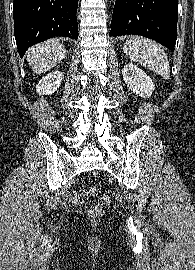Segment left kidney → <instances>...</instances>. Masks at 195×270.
Returning a JSON list of instances; mask_svg holds the SVG:
<instances>
[{
	"label": "left kidney",
	"instance_id": "1",
	"mask_svg": "<svg viewBox=\"0 0 195 270\" xmlns=\"http://www.w3.org/2000/svg\"><path fill=\"white\" fill-rule=\"evenodd\" d=\"M126 85L141 97H150L155 89L152 79L136 65L129 63L122 69Z\"/></svg>",
	"mask_w": 195,
	"mask_h": 270
}]
</instances>
